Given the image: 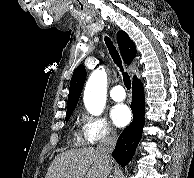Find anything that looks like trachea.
Wrapping results in <instances>:
<instances>
[{"label":"trachea","mask_w":194,"mask_h":178,"mask_svg":"<svg viewBox=\"0 0 194 178\" xmlns=\"http://www.w3.org/2000/svg\"><path fill=\"white\" fill-rule=\"evenodd\" d=\"M105 43L107 45V48L109 50V53H110L114 63L120 68V71L122 72L123 82H124L125 87L128 90H130V88H131V80H130L129 75L123 69L122 61H121V58H120V56L118 54V51L116 50L115 46L113 45V42L107 36H105Z\"/></svg>","instance_id":"1"}]
</instances>
